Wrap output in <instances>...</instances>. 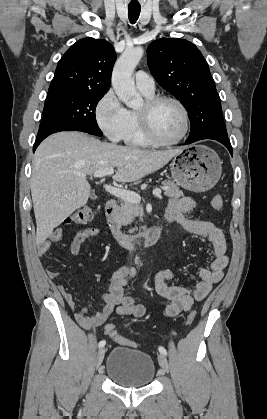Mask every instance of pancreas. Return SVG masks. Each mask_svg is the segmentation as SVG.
<instances>
[{
  "instance_id": "pancreas-1",
  "label": "pancreas",
  "mask_w": 267,
  "mask_h": 419,
  "mask_svg": "<svg viewBox=\"0 0 267 419\" xmlns=\"http://www.w3.org/2000/svg\"><path fill=\"white\" fill-rule=\"evenodd\" d=\"M162 184L166 187L165 195L168 197L179 198L183 196V192L178 186L170 180H165ZM136 216L142 217V210L135 206L134 203L124 200L121 206L113 214V221L118 226H126L130 224Z\"/></svg>"
}]
</instances>
